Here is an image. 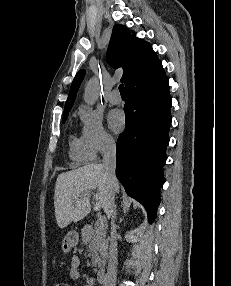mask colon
<instances>
[{
	"instance_id": "1",
	"label": "colon",
	"mask_w": 231,
	"mask_h": 286,
	"mask_svg": "<svg viewBox=\"0 0 231 286\" xmlns=\"http://www.w3.org/2000/svg\"><path fill=\"white\" fill-rule=\"evenodd\" d=\"M55 286H72V285L68 282H59Z\"/></svg>"
}]
</instances>
